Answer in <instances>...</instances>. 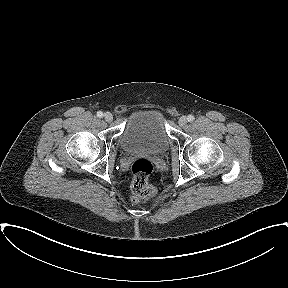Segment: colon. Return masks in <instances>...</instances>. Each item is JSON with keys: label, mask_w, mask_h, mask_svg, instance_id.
<instances>
[{"label": "colon", "mask_w": 288, "mask_h": 288, "mask_svg": "<svg viewBox=\"0 0 288 288\" xmlns=\"http://www.w3.org/2000/svg\"><path fill=\"white\" fill-rule=\"evenodd\" d=\"M133 180L131 184V202L139 203L151 199L155 188L149 183V176L153 171V164L147 159H137L131 167Z\"/></svg>", "instance_id": "5ec220e1"}]
</instances>
